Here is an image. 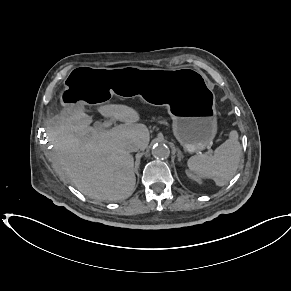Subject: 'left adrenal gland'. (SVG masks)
<instances>
[{
    "label": "left adrenal gland",
    "instance_id": "1",
    "mask_svg": "<svg viewBox=\"0 0 291 291\" xmlns=\"http://www.w3.org/2000/svg\"><path fill=\"white\" fill-rule=\"evenodd\" d=\"M183 158V155L181 154V151H178V161H181Z\"/></svg>",
    "mask_w": 291,
    "mask_h": 291
}]
</instances>
